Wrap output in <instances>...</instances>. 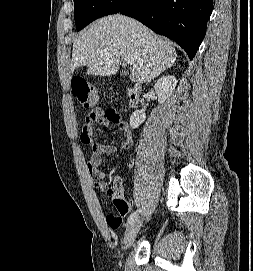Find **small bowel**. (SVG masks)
Segmentation results:
<instances>
[{"label":"small bowel","instance_id":"c3829d8e","mask_svg":"<svg viewBox=\"0 0 253 271\" xmlns=\"http://www.w3.org/2000/svg\"><path fill=\"white\" fill-rule=\"evenodd\" d=\"M96 126H103L106 128L114 126L121 130L123 137L121 147L124 149L130 148L134 144V136L128 123L120 117L118 121H115L107 115H103L100 110L91 111L86 115L80 139L83 144L90 145L92 148L91 155L87 161V169L94 187L99 191H105L106 184L103 180L106 177V174L101 171L99 167L102 164L103 156L114 154L117 151V146L113 144L93 143L92 138ZM114 183L120 184V179L117 178ZM130 208L131 205L127 203L124 215L129 212Z\"/></svg>","mask_w":253,"mask_h":271}]
</instances>
